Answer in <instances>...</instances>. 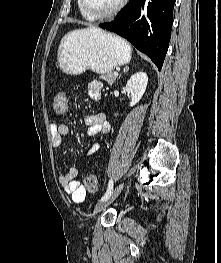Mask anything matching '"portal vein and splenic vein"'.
I'll return each instance as SVG.
<instances>
[{
    "mask_svg": "<svg viewBox=\"0 0 221 263\" xmlns=\"http://www.w3.org/2000/svg\"><path fill=\"white\" fill-rule=\"evenodd\" d=\"M114 75H115V76H118V72H114Z\"/></svg>",
    "mask_w": 221,
    "mask_h": 263,
    "instance_id": "portal-vein-and-splenic-vein-1",
    "label": "portal vein and splenic vein"
}]
</instances>
